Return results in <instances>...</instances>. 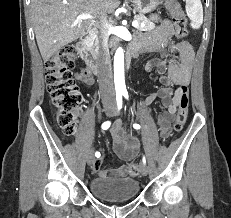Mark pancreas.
<instances>
[{"instance_id": "obj_1", "label": "pancreas", "mask_w": 231, "mask_h": 218, "mask_svg": "<svg viewBox=\"0 0 231 218\" xmlns=\"http://www.w3.org/2000/svg\"><path fill=\"white\" fill-rule=\"evenodd\" d=\"M135 20L139 22V25L136 27L139 31H149L155 27L154 23L147 19L142 13L136 15ZM141 23L144 25H140Z\"/></svg>"}]
</instances>
